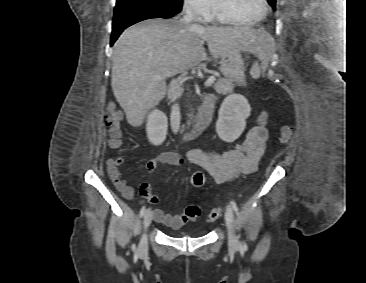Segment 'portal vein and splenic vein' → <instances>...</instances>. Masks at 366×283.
I'll list each match as a JSON object with an SVG mask.
<instances>
[{"instance_id":"1","label":"portal vein and splenic vein","mask_w":366,"mask_h":283,"mask_svg":"<svg viewBox=\"0 0 366 283\" xmlns=\"http://www.w3.org/2000/svg\"><path fill=\"white\" fill-rule=\"evenodd\" d=\"M215 80H216L215 76H210V77H208V79L206 80L205 85H206V86H210V85H212V84L215 82Z\"/></svg>"}]
</instances>
